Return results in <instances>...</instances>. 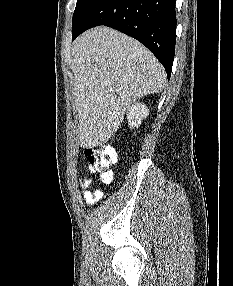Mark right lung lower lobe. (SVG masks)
Returning a JSON list of instances; mask_svg holds the SVG:
<instances>
[{"label":"right lung lower lobe","mask_w":233,"mask_h":286,"mask_svg":"<svg viewBox=\"0 0 233 286\" xmlns=\"http://www.w3.org/2000/svg\"><path fill=\"white\" fill-rule=\"evenodd\" d=\"M176 0H92L72 28L74 40L89 28L106 25L144 44L170 78L176 43Z\"/></svg>","instance_id":"obj_1"}]
</instances>
